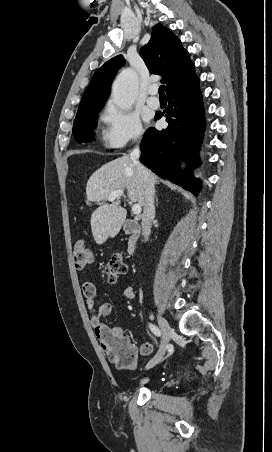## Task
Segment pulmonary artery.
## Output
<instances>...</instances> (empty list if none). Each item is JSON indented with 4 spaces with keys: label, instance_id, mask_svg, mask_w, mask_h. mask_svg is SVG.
Wrapping results in <instances>:
<instances>
[{
    "label": "pulmonary artery",
    "instance_id": "1",
    "mask_svg": "<svg viewBox=\"0 0 272 452\" xmlns=\"http://www.w3.org/2000/svg\"><path fill=\"white\" fill-rule=\"evenodd\" d=\"M148 93L149 97L147 99V105L152 109H158L160 107V100L155 96L157 93V87L151 86Z\"/></svg>",
    "mask_w": 272,
    "mask_h": 452
}]
</instances>
